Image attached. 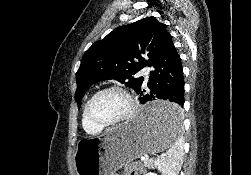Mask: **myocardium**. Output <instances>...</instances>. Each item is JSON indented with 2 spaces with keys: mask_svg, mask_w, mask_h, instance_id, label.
<instances>
[{
  "mask_svg": "<svg viewBox=\"0 0 251 175\" xmlns=\"http://www.w3.org/2000/svg\"><path fill=\"white\" fill-rule=\"evenodd\" d=\"M111 90H118L126 96L127 101H128V105H129V109H128L127 113L125 114V116L123 118H121L120 120L113 122V123H106V122H103L100 119L96 118L93 115L92 107H93L95 100L97 99V97L99 95H101L104 92L111 91ZM136 112H137V104H136V101L134 100L133 96L131 95V93L126 88H124L120 85H116V84L106 86V87L96 91L90 97V99L88 100L87 105H86V116H87L88 120L92 124L102 128V129L114 128V127H118L120 125H123L126 122L130 121L135 116Z\"/></svg>",
  "mask_w": 251,
  "mask_h": 175,
  "instance_id": "obj_1",
  "label": "myocardium"
}]
</instances>
